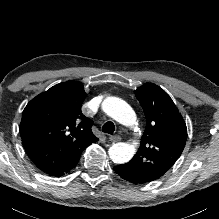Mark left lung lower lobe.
Here are the masks:
<instances>
[{
    "label": "left lung lower lobe",
    "instance_id": "left-lung-lower-lobe-1",
    "mask_svg": "<svg viewBox=\"0 0 219 219\" xmlns=\"http://www.w3.org/2000/svg\"><path fill=\"white\" fill-rule=\"evenodd\" d=\"M114 171L123 179L135 184H143L156 180L138 173L137 171L127 167L125 164L115 166Z\"/></svg>",
    "mask_w": 219,
    "mask_h": 219
}]
</instances>
